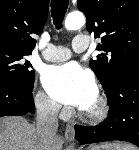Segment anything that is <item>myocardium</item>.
I'll return each mask as SVG.
<instances>
[{
	"label": "myocardium",
	"instance_id": "obj_1",
	"mask_svg": "<svg viewBox=\"0 0 139 150\" xmlns=\"http://www.w3.org/2000/svg\"><path fill=\"white\" fill-rule=\"evenodd\" d=\"M97 106L91 112L81 111L80 118L89 124H98L104 121L110 112L108 100L104 96L97 97Z\"/></svg>",
	"mask_w": 139,
	"mask_h": 150
}]
</instances>
